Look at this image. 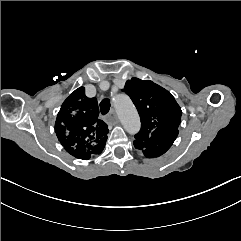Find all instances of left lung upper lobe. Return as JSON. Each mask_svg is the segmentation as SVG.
<instances>
[{"instance_id":"5c2ea615","label":"left lung upper lobe","mask_w":241,"mask_h":241,"mask_svg":"<svg viewBox=\"0 0 241 241\" xmlns=\"http://www.w3.org/2000/svg\"><path fill=\"white\" fill-rule=\"evenodd\" d=\"M123 91L132 99L141 118L134 145L139 150L161 149L168 134L178 131L180 106L170 92L150 80L132 78Z\"/></svg>"}]
</instances>
